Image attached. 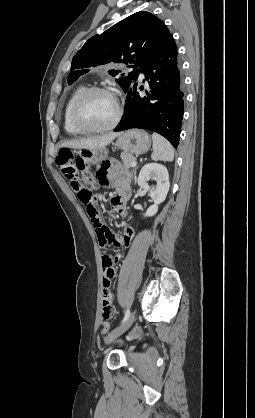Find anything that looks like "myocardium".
Wrapping results in <instances>:
<instances>
[{
  "mask_svg": "<svg viewBox=\"0 0 255 418\" xmlns=\"http://www.w3.org/2000/svg\"><path fill=\"white\" fill-rule=\"evenodd\" d=\"M94 93L106 94V95L110 96L115 102V106H116L115 115H114L112 121L106 126L90 127V126H87L84 123H82V121L80 119V112H81V108H82V105H83L84 101L90 95H92ZM121 115H122V107H121V104L119 103V101L117 100V98L114 96V94L110 90H108L107 88L92 86V87L86 88L76 98V100L73 104L72 110H71V122H72L73 126L75 128H77L78 130H80L81 132H84V133H103V132H107V131H110V130L114 129L117 126V124L119 123Z\"/></svg>",
  "mask_w": 255,
  "mask_h": 418,
  "instance_id": "1",
  "label": "myocardium"
}]
</instances>
